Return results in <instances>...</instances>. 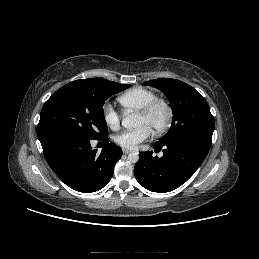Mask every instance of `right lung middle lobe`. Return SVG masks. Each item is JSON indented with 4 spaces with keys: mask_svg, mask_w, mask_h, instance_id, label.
Wrapping results in <instances>:
<instances>
[{
    "mask_svg": "<svg viewBox=\"0 0 259 259\" xmlns=\"http://www.w3.org/2000/svg\"><path fill=\"white\" fill-rule=\"evenodd\" d=\"M129 87V84L105 79L76 80L64 85L52 94L41 110L37 126L40 142L57 134H73L89 139L106 137L105 100Z\"/></svg>",
    "mask_w": 259,
    "mask_h": 259,
    "instance_id": "dd1d6c3e",
    "label": "right lung middle lobe"
}]
</instances>
